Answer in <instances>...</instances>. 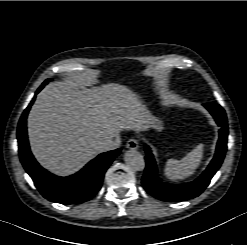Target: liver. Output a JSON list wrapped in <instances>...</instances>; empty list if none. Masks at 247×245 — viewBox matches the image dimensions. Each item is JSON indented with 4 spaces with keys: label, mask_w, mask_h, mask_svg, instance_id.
Returning a JSON list of instances; mask_svg holds the SVG:
<instances>
[{
    "label": "liver",
    "mask_w": 247,
    "mask_h": 245,
    "mask_svg": "<svg viewBox=\"0 0 247 245\" xmlns=\"http://www.w3.org/2000/svg\"><path fill=\"white\" fill-rule=\"evenodd\" d=\"M140 106L132 92L123 85L107 84L83 91L58 85L43 92L29 114L33 151L46 167L56 173H72L82 166L81 161L86 157L67 160L79 147L76 145L81 140L78 136L93 144L87 138L95 135L91 128L108 132L126 127L139 128L142 122Z\"/></svg>",
    "instance_id": "obj_1"
}]
</instances>
